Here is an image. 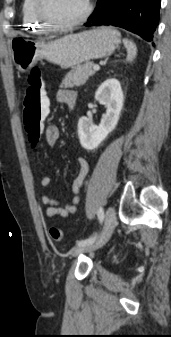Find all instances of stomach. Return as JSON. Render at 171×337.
Wrapping results in <instances>:
<instances>
[{
  "instance_id": "obj_1",
  "label": "stomach",
  "mask_w": 171,
  "mask_h": 337,
  "mask_svg": "<svg viewBox=\"0 0 171 337\" xmlns=\"http://www.w3.org/2000/svg\"><path fill=\"white\" fill-rule=\"evenodd\" d=\"M120 42L119 33L111 27L70 34L50 42L16 37L12 40V58L21 72L28 71L39 59L69 68L111 55Z\"/></svg>"
}]
</instances>
